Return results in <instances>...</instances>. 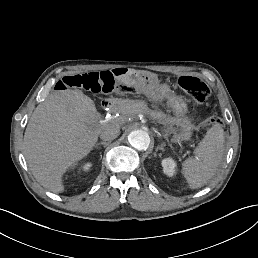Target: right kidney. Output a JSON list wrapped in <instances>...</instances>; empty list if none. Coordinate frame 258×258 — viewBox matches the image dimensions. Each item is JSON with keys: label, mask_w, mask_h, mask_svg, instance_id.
<instances>
[{"label": "right kidney", "mask_w": 258, "mask_h": 258, "mask_svg": "<svg viewBox=\"0 0 258 258\" xmlns=\"http://www.w3.org/2000/svg\"><path fill=\"white\" fill-rule=\"evenodd\" d=\"M93 168V163L91 161H87L82 163L79 167L76 169V173L80 172H89Z\"/></svg>", "instance_id": "right-kidney-1"}]
</instances>
